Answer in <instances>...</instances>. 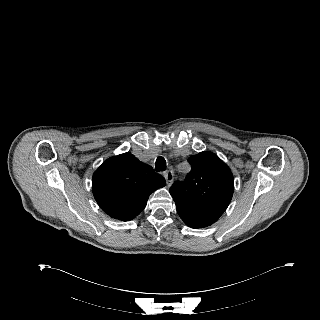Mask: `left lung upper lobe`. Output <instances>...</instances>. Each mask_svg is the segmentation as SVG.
<instances>
[{
    "instance_id": "5c2ea615",
    "label": "left lung upper lobe",
    "mask_w": 320,
    "mask_h": 320,
    "mask_svg": "<svg viewBox=\"0 0 320 320\" xmlns=\"http://www.w3.org/2000/svg\"><path fill=\"white\" fill-rule=\"evenodd\" d=\"M192 168L185 180L175 182L170 194L175 202L221 216L234 189L230 169L214 153L200 152L188 158Z\"/></svg>"
}]
</instances>
